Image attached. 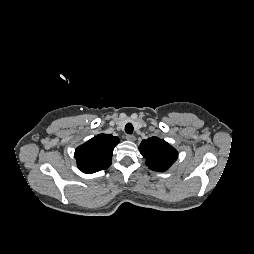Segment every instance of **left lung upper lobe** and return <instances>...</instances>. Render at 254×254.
<instances>
[{
    "instance_id": "5c2ea615",
    "label": "left lung upper lobe",
    "mask_w": 254,
    "mask_h": 254,
    "mask_svg": "<svg viewBox=\"0 0 254 254\" xmlns=\"http://www.w3.org/2000/svg\"><path fill=\"white\" fill-rule=\"evenodd\" d=\"M139 150L146 159V165L153 171L167 170L178 157L177 151L172 146L157 137L143 140Z\"/></svg>"
}]
</instances>
